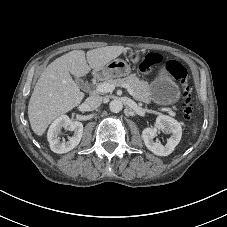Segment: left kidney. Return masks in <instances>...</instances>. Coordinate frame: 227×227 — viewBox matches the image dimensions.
Listing matches in <instances>:
<instances>
[{
  "instance_id": "1",
  "label": "left kidney",
  "mask_w": 227,
  "mask_h": 227,
  "mask_svg": "<svg viewBox=\"0 0 227 227\" xmlns=\"http://www.w3.org/2000/svg\"><path fill=\"white\" fill-rule=\"evenodd\" d=\"M158 130L171 133V137L167 140L165 146H163L160 142L153 141V138L157 135ZM181 137V123L165 115H160L157 117L153 128H145L142 131V138L146 147L158 156H167L171 154L180 142Z\"/></svg>"
}]
</instances>
